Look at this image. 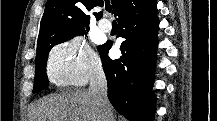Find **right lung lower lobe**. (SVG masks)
<instances>
[{"label":"right lung lower lobe","instance_id":"right-lung-lower-lobe-1","mask_svg":"<svg viewBox=\"0 0 217 121\" xmlns=\"http://www.w3.org/2000/svg\"><path fill=\"white\" fill-rule=\"evenodd\" d=\"M117 18L118 37L125 38L122 56L112 60L108 50L112 42L99 52L108 82V98L114 108L130 121H153L155 95L152 92L157 49L156 0H129Z\"/></svg>","mask_w":217,"mask_h":121}]
</instances>
